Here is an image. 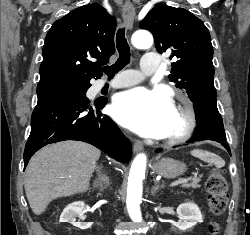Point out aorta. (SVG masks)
<instances>
[{
	"label": "aorta",
	"instance_id": "1",
	"mask_svg": "<svg viewBox=\"0 0 250 235\" xmlns=\"http://www.w3.org/2000/svg\"><path fill=\"white\" fill-rule=\"evenodd\" d=\"M132 44L136 48L147 49L153 44V37L148 31H137L132 36ZM147 158L145 154H138L132 162L128 186H127V209L130 218L134 222H140L142 215L140 211V203L142 200V180L145 176ZM154 224H151V227Z\"/></svg>",
	"mask_w": 250,
	"mask_h": 235
}]
</instances>
